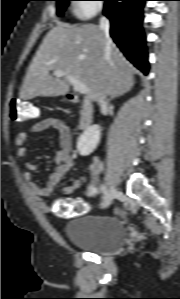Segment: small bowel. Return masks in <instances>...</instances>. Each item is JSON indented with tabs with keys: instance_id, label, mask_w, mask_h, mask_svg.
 I'll return each mask as SVG.
<instances>
[{
	"instance_id": "small-bowel-1",
	"label": "small bowel",
	"mask_w": 180,
	"mask_h": 299,
	"mask_svg": "<svg viewBox=\"0 0 180 299\" xmlns=\"http://www.w3.org/2000/svg\"><path fill=\"white\" fill-rule=\"evenodd\" d=\"M54 131L58 134L60 148L55 155L56 168L49 176L46 184L39 186L33 180V172L38 169L36 163L28 160V152L23 145L26 143L28 133L21 132L15 138V144L18 146L17 155L24 160L26 171L24 172V179L26 182V189L30 198L37 204L43 212H50L55 209V205L50 207L45 201L44 197L48 196L53 189L62 181L64 175L73 167L74 158L72 155L71 132L67 122L59 117L50 116L43 120L34 123L30 129V134H38L44 131ZM91 173L97 176L102 171V164L99 160H94L90 165ZM82 185L80 178L72 179L67 185L63 187L65 195H71ZM96 189L94 185H90L87 189V196H94Z\"/></svg>"
}]
</instances>
